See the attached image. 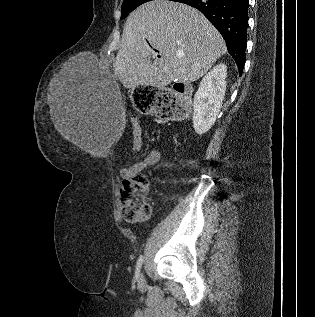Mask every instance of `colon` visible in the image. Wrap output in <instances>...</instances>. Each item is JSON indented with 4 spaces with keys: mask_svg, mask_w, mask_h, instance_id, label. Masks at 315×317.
<instances>
[{
    "mask_svg": "<svg viewBox=\"0 0 315 317\" xmlns=\"http://www.w3.org/2000/svg\"><path fill=\"white\" fill-rule=\"evenodd\" d=\"M157 97V115L168 120H179L188 113V101L182 89H161ZM142 134L140 128L134 127V147L141 148ZM149 180L146 175L137 173L125 179L121 187L122 216L128 222H142L151 214V207L147 201Z\"/></svg>",
    "mask_w": 315,
    "mask_h": 317,
    "instance_id": "obj_1",
    "label": "colon"
}]
</instances>
